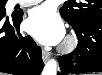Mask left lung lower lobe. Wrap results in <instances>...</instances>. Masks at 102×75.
<instances>
[{
    "label": "left lung lower lobe",
    "instance_id": "obj_1",
    "mask_svg": "<svg viewBox=\"0 0 102 75\" xmlns=\"http://www.w3.org/2000/svg\"><path fill=\"white\" fill-rule=\"evenodd\" d=\"M71 25L79 44L74 52L59 58L58 74L102 72V19L78 20Z\"/></svg>",
    "mask_w": 102,
    "mask_h": 75
}]
</instances>
